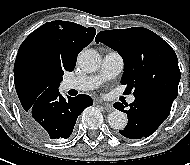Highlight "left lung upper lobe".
<instances>
[{"label": "left lung upper lobe", "instance_id": "1", "mask_svg": "<svg viewBox=\"0 0 190 165\" xmlns=\"http://www.w3.org/2000/svg\"><path fill=\"white\" fill-rule=\"evenodd\" d=\"M95 41L117 51L124 61L121 84L134 97L163 95L175 99L180 70L172 47L154 32L142 28L101 31Z\"/></svg>", "mask_w": 190, "mask_h": 165}]
</instances>
